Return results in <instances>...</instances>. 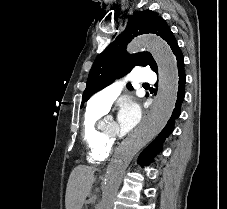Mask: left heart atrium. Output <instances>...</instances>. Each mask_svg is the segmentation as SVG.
<instances>
[{
    "label": "left heart atrium",
    "instance_id": "left-heart-atrium-1",
    "mask_svg": "<svg viewBox=\"0 0 227 209\" xmlns=\"http://www.w3.org/2000/svg\"><path fill=\"white\" fill-rule=\"evenodd\" d=\"M141 109L130 98L124 99L119 104L117 124L123 134L129 133L140 121Z\"/></svg>",
    "mask_w": 227,
    "mask_h": 209
}]
</instances>
